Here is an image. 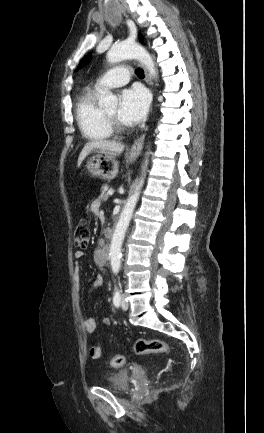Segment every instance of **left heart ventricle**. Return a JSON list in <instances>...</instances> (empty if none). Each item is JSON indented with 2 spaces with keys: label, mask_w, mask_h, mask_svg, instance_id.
<instances>
[{
  "label": "left heart ventricle",
  "mask_w": 264,
  "mask_h": 433,
  "mask_svg": "<svg viewBox=\"0 0 264 433\" xmlns=\"http://www.w3.org/2000/svg\"><path fill=\"white\" fill-rule=\"evenodd\" d=\"M106 111L112 116L116 117V115H117V107L116 106L112 107V108H108V109H106Z\"/></svg>",
  "instance_id": "left-heart-ventricle-1"
}]
</instances>
